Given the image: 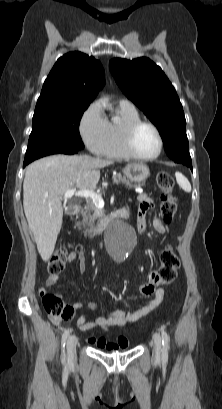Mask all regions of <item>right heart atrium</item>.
Returning <instances> with one entry per match:
<instances>
[{"mask_svg":"<svg viewBox=\"0 0 222 409\" xmlns=\"http://www.w3.org/2000/svg\"><path fill=\"white\" fill-rule=\"evenodd\" d=\"M79 132L87 148L99 154L107 138V120L99 103L93 102L84 110L79 121Z\"/></svg>","mask_w":222,"mask_h":409,"instance_id":"obj_1","label":"right heart atrium"}]
</instances>
